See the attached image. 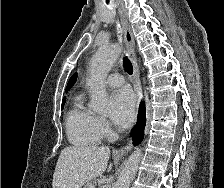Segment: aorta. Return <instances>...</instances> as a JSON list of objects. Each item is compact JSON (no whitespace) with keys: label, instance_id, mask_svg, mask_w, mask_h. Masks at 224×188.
<instances>
[{"label":"aorta","instance_id":"aorta-1","mask_svg":"<svg viewBox=\"0 0 224 188\" xmlns=\"http://www.w3.org/2000/svg\"><path fill=\"white\" fill-rule=\"evenodd\" d=\"M121 52L118 44L101 46L90 62V78L88 86L91 94L90 109L97 113H104L108 109L109 99L105 87V78ZM142 157V150L137 148L126 162L115 188H129Z\"/></svg>","mask_w":224,"mask_h":188}]
</instances>
